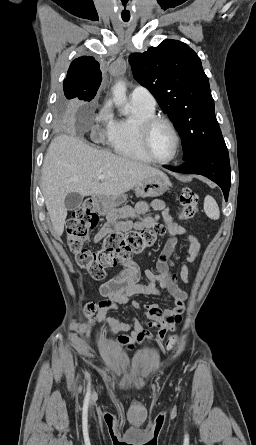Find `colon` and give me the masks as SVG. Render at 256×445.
Returning <instances> with one entry per match:
<instances>
[{
  "label": "colon",
  "instance_id": "5ec220e1",
  "mask_svg": "<svg viewBox=\"0 0 256 445\" xmlns=\"http://www.w3.org/2000/svg\"><path fill=\"white\" fill-rule=\"evenodd\" d=\"M93 201L86 200L83 205L74 212L73 218L67 226L68 245L74 254L79 266L93 279L102 280L105 270L114 267L118 262L131 259L132 256L152 247L162 236L166 228L162 224L153 227L131 231L126 234L120 232L109 233L103 242L101 249L91 251L85 247L90 232L98 223V215L93 211ZM198 213V195L184 189L180 194V210L178 216L181 220H189ZM97 312L94 303H88L86 313L93 316ZM175 339L169 337L165 343L167 349H171Z\"/></svg>",
  "mask_w": 256,
  "mask_h": 445
}]
</instances>
